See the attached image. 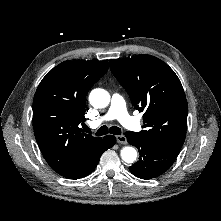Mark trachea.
<instances>
[{
	"mask_svg": "<svg viewBox=\"0 0 221 221\" xmlns=\"http://www.w3.org/2000/svg\"><path fill=\"white\" fill-rule=\"evenodd\" d=\"M85 130H86V132L91 133V130L88 127H86ZM109 132L111 134H114V135H120L121 134V129L116 127V126H112L110 128H108L107 126H101L97 130L96 135L97 136H102V135L108 134Z\"/></svg>",
	"mask_w": 221,
	"mask_h": 221,
	"instance_id": "1",
	"label": "trachea"
}]
</instances>
